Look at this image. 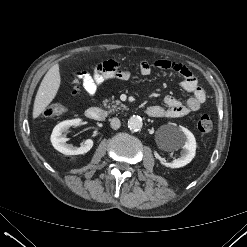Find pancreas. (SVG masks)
Listing matches in <instances>:
<instances>
[{"mask_svg": "<svg viewBox=\"0 0 247 247\" xmlns=\"http://www.w3.org/2000/svg\"><path fill=\"white\" fill-rule=\"evenodd\" d=\"M108 102H109V100H108V99H105V100L103 101L104 106H107V103H108ZM113 103H114V102H113ZM118 105H120V107H118ZM121 107H123V109H125V106H124L123 104H121L120 101H116L115 104H112L111 106L108 105V108H110V111L118 110V109H120Z\"/></svg>", "mask_w": 247, "mask_h": 247, "instance_id": "1", "label": "pancreas"}]
</instances>
